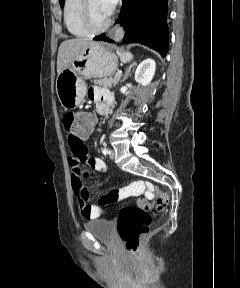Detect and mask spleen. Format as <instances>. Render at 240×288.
I'll return each mask as SVG.
<instances>
[{"label": "spleen", "instance_id": "spleen-1", "mask_svg": "<svg viewBox=\"0 0 240 288\" xmlns=\"http://www.w3.org/2000/svg\"><path fill=\"white\" fill-rule=\"evenodd\" d=\"M122 57H123L124 61H128V60H131L133 58V55L129 52H125L122 54Z\"/></svg>", "mask_w": 240, "mask_h": 288}]
</instances>
